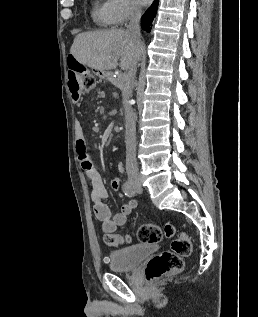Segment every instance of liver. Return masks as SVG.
<instances>
[{
    "mask_svg": "<svg viewBox=\"0 0 258 317\" xmlns=\"http://www.w3.org/2000/svg\"><path fill=\"white\" fill-rule=\"evenodd\" d=\"M141 42L134 40L130 32L121 28L80 32L70 48L74 58L97 70L116 68L119 56L123 70L130 68L141 52Z\"/></svg>",
    "mask_w": 258,
    "mask_h": 317,
    "instance_id": "liver-1",
    "label": "liver"
}]
</instances>
